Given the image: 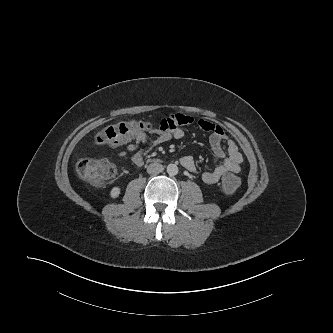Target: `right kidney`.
Here are the masks:
<instances>
[{
  "mask_svg": "<svg viewBox=\"0 0 333 333\" xmlns=\"http://www.w3.org/2000/svg\"><path fill=\"white\" fill-rule=\"evenodd\" d=\"M120 194V188L119 187H113L112 190L110 191V196L112 198H117Z\"/></svg>",
  "mask_w": 333,
  "mask_h": 333,
  "instance_id": "1",
  "label": "right kidney"
}]
</instances>
